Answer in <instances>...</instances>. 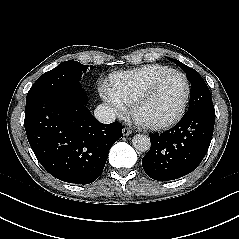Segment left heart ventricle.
Returning a JSON list of instances; mask_svg holds the SVG:
<instances>
[{
    "label": "left heart ventricle",
    "mask_w": 239,
    "mask_h": 239,
    "mask_svg": "<svg viewBox=\"0 0 239 239\" xmlns=\"http://www.w3.org/2000/svg\"><path fill=\"white\" fill-rule=\"evenodd\" d=\"M184 94L185 84L182 77H168L141 106L138 118L143 122H160L171 118L178 111Z\"/></svg>",
    "instance_id": "left-heart-ventricle-1"
}]
</instances>
